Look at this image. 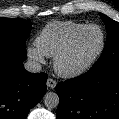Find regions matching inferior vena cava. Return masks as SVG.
Returning a JSON list of instances; mask_svg holds the SVG:
<instances>
[{
  "mask_svg": "<svg viewBox=\"0 0 119 119\" xmlns=\"http://www.w3.org/2000/svg\"><path fill=\"white\" fill-rule=\"evenodd\" d=\"M24 67L28 72L31 73H38L42 70L41 64L32 60H29L24 63Z\"/></svg>",
  "mask_w": 119,
  "mask_h": 119,
  "instance_id": "obj_1",
  "label": "inferior vena cava"
}]
</instances>
